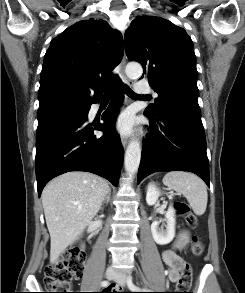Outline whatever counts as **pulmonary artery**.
<instances>
[{"label": "pulmonary artery", "mask_w": 245, "mask_h": 293, "mask_svg": "<svg viewBox=\"0 0 245 293\" xmlns=\"http://www.w3.org/2000/svg\"><path fill=\"white\" fill-rule=\"evenodd\" d=\"M137 92L140 94V95H147L148 93H150L151 91L148 90L146 87H145V84L144 83H141L137 86ZM154 95H156L155 92H152Z\"/></svg>", "instance_id": "e3ab8cb5"}]
</instances>
